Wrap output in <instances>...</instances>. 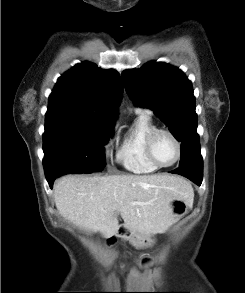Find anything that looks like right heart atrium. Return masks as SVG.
I'll return each instance as SVG.
<instances>
[{
    "label": "right heart atrium",
    "instance_id": "1",
    "mask_svg": "<svg viewBox=\"0 0 245 293\" xmlns=\"http://www.w3.org/2000/svg\"><path fill=\"white\" fill-rule=\"evenodd\" d=\"M110 144H111V137L108 138L106 144L104 145L106 155L110 154Z\"/></svg>",
    "mask_w": 245,
    "mask_h": 293
}]
</instances>
